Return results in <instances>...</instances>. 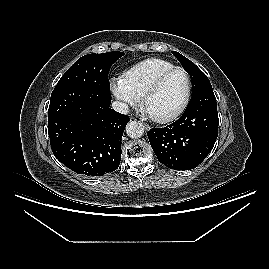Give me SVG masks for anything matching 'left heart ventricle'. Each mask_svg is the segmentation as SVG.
Instances as JSON below:
<instances>
[{"label": "left heart ventricle", "mask_w": 269, "mask_h": 269, "mask_svg": "<svg viewBox=\"0 0 269 269\" xmlns=\"http://www.w3.org/2000/svg\"><path fill=\"white\" fill-rule=\"evenodd\" d=\"M187 78L184 72L172 73L146 102L145 111L151 116H164L176 110L184 100Z\"/></svg>", "instance_id": "b2bd125f"}]
</instances>
